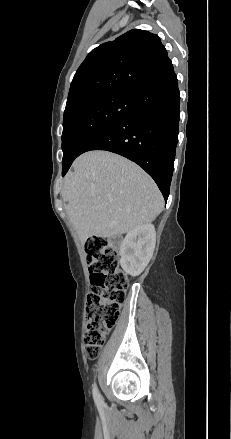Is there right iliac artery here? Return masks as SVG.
I'll return each instance as SVG.
<instances>
[{
	"instance_id": "right-iliac-artery-1",
	"label": "right iliac artery",
	"mask_w": 231,
	"mask_h": 439,
	"mask_svg": "<svg viewBox=\"0 0 231 439\" xmlns=\"http://www.w3.org/2000/svg\"><path fill=\"white\" fill-rule=\"evenodd\" d=\"M93 397L95 400V403L98 407H102L103 406V400L102 397L98 391V388L96 386V384L93 385Z\"/></svg>"
}]
</instances>
